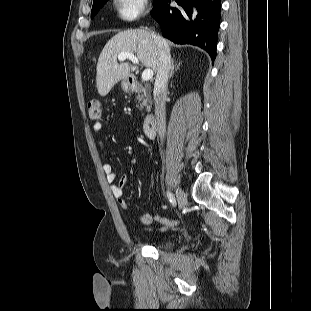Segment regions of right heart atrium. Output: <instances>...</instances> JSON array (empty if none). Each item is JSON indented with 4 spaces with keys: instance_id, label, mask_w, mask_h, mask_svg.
I'll list each match as a JSON object with an SVG mask.
<instances>
[{
    "instance_id": "d8ad5b80",
    "label": "right heart atrium",
    "mask_w": 311,
    "mask_h": 311,
    "mask_svg": "<svg viewBox=\"0 0 311 311\" xmlns=\"http://www.w3.org/2000/svg\"><path fill=\"white\" fill-rule=\"evenodd\" d=\"M118 17L132 22L142 17L147 8L148 0H113Z\"/></svg>"
}]
</instances>
